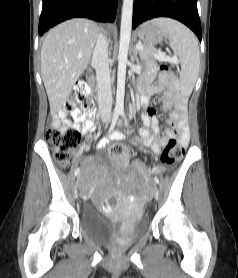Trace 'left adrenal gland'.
<instances>
[{
  "instance_id": "a2214340",
  "label": "left adrenal gland",
  "mask_w": 238,
  "mask_h": 278,
  "mask_svg": "<svg viewBox=\"0 0 238 278\" xmlns=\"http://www.w3.org/2000/svg\"><path fill=\"white\" fill-rule=\"evenodd\" d=\"M131 59H132V60H135L136 63H138V64L140 63L139 58H138V56H137V49H136V47H134L133 56H132Z\"/></svg>"
}]
</instances>
